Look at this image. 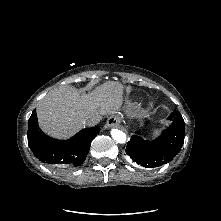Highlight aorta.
I'll return each mask as SVG.
<instances>
[{
  "mask_svg": "<svg viewBox=\"0 0 221 221\" xmlns=\"http://www.w3.org/2000/svg\"><path fill=\"white\" fill-rule=\"evenodd\" d=\"M111 135H112V138L117 142V143H125L126 142V134L122 131V130H119V129H116V128H113L111 130Z\"/></svg>",
  "mask_w": 221,
  "mask_h": 221,
  "instance_id": "obj_1",
  "label": "aorta"
}]
</instances>
